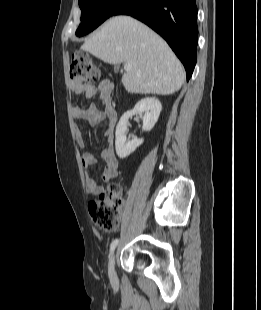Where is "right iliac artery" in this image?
Wrapping results in <instances>:
<instances>
[{
    "label": "right iliac artery",
    "instance_id": "1",
    "mask_svg": "<svg viewBox=\"0 0 261 310\" xmlns=\"http://www.w3.org/2000/svg\"><path fill=\"white\" fill-rule=\"evenodd\" d=\"M119 240L115 239L112 241L111 245H110V254L114 251V249L116 248V246L118 245Z\"/></svg>",
    "mask_w": 261,
    "mask_h": 310
}]
</instances>
